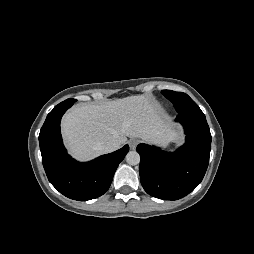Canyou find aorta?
<instances>
[{"mask_svg": "<svg viewBox=\"0 0 254 254\" xmlns=\"http://www.w3.org/2000/svg\"><path fill=\"white\" fill-rule=\"evenodd\" d=\"M126 162L129 165H137L140 163V155L136 151H130L126 155Z\"/></svg>", "mask_w": 254, "mask_h": 254, "instance_id": "762f6f07", "label": "aorta"}]
</instances>
